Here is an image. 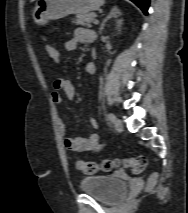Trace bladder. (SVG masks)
I'll return each instance as SVG.
<instances>
[{"instance_id": "bladder-1", "label": "bladder", "mask_w": 188, "mask_h": 213, "mask_svg": "<svg viewBox=\"0 0 188 213\" xmlns=\"http://www.w3.org/2000/svg\"><path fill=\"white\" fill-rule=\"evenodd\" d=\"M80 190L101 203H117L126 192L125 182L116 175H89L81 179Z\"/></svg>"}]
</instances>
